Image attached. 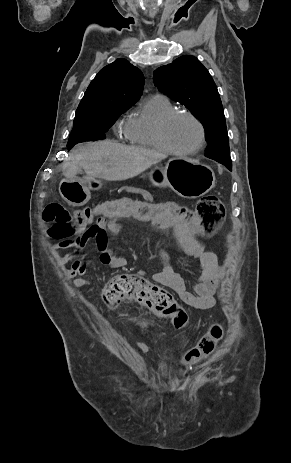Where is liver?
<instances>
[{
    "label": "liver",
    "mask_w": 291,
    "mask_h": 463,
    "mask_svg": "<svg viewBox=\"0 0 291 463\" xmlns=\"http://www.w3.org/2000/svg\"><path fill=\"white\" fill-rule=\"evenodd\" d=\"M165 158L166 155L158 151L104 140L81 145L68 157L63 175L74 179L84 169L93 179L122 181L139 175Z\"/></svg>",
    "instance_id": "liver-1"
}]
</instances>
